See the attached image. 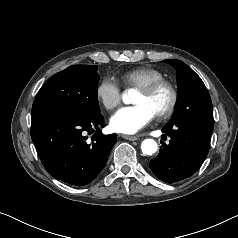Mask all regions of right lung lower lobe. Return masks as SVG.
<instances>
[{
  "mask_svg": "<svg viewBox=\"0 0 238 238\" xmlns=\"http://www.w3.org/2000/svg\"><path fill=\"white\" fill-rule=\"evenodd\" d=\"M31 138L45 169L56 179L83 186L101 171L116 134L103 135L102 115L87 118L64 112H32ZM92 142L86 131H94Z\"/></svg>",
  "mask_w": 238,
  "mask_h": 238,
  "instance_id": "right-lung-lower-lobe-1",
  "label": "right lung lower lobe"
}]
</instances>
